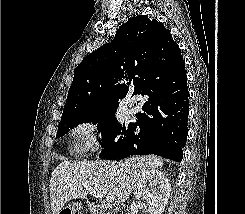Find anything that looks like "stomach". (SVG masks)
Returning a JSON list of instances; mask_svg holds the SVG:
<instances>
[{
    "instance_id": "stomach-1",
    "label": "stomach",
    "mask_w": 245,
    "mask_h": 214,
    "mask_svg": "<svg viewBox=\"0 0 245 214\" xmlns=\"http://www.w3.org/2000/svg\"><path fill=\"white\" fill-rule=\"evenodd\" d=\"M81 209H82V206L79 203H73L69 207L71 214H82Z\"/></svg>"
}]
</instances>
